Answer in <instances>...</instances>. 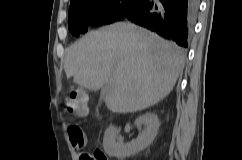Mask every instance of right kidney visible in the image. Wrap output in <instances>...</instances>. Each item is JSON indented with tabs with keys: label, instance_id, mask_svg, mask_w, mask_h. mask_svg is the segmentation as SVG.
<instances>
[{
	"label": "right kidney",
	"instance_id": "right-kidney-1",
	"mask_svg": "<svg viewBox=\"0 0 242 160\" xmlns=\"http://www.w3.org/2000/svg\"><path fill=\"white\" fill-rule=\"evenodd\" d=\"M135 125L145 129L139 134L138 138L131 143L124 144L119 136V129L109 126L104 134L103 147L111 157L126 158L146 149L157 136L160 122L154 113H145L135 120Z\"/></svg>",
	"mask_w": 242,
	"mask_h": 160
}]
</instances>
